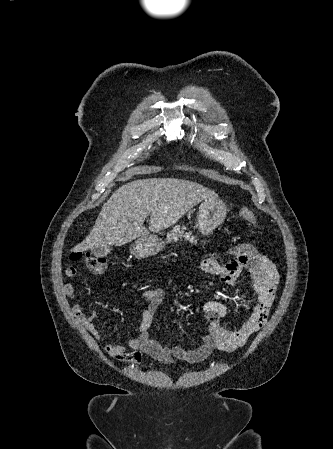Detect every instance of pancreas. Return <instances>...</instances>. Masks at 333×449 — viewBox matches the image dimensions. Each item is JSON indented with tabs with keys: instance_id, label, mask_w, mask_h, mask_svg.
<instances>
[{
	"instance_id": "cf45deb5",
	"label": "pancreas",
	"mask_w": 333,
	"mask_h": 449,
	"mask_svg": "<svg viewBox=\"0 0 333 449\" xmlns=\"http://www.w3.org/2000/svg\"><path fill=\"white\" fill-rule=\"evenodd\" d=\"M184 230H186V228L184 226L182 228H180V226H175L174 230L167 235L168 240L173 239V238H177L178 237L177 232L184 233ZM190 235H191L190 232L189 233H185V234L181 235L180 238L184 237L185 240H188L191 243L196 242L194 237H190Z\"/></svg>"
}]
</instances>
